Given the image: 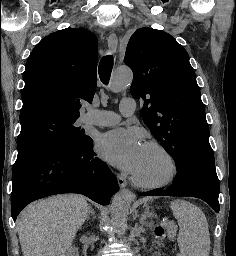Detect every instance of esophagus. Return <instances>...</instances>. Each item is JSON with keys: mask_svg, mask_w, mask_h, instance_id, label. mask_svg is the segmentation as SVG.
Here are the masks:
<instances>
[{"mask_svg": "<svg viewBox=\"0 0 236 256\" xmlns=\"http://www.w3.org/2000/svg\"><path fill=\"white\" fill-rule=\"evenodd\" d=\"M117 45H118L117 36L115 33H111L108 37L109 51L111 53H115L117 50ZM117 180H118V184H119L120 188H125V186L127 185V181H126L125 177L118 175Z\"/></svg>", "mask_w": 236, "mask_h": 256, "instance_id": "esophagus-1", "label": "esophagus"}]
</instances>
